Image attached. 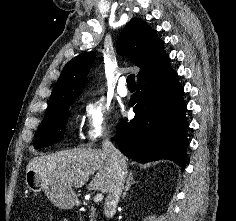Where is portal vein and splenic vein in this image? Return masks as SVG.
<instances>
[{
    "label": "portal vein and splenic vein",
    "mask_w": 236,
    "mask_h": 221,
    "mask_svg": "<svg viewBox=\"0 0 236 221\" xmlns=\"http://www.w3.org/2000/svg\"><path fill=\"white\" fill-rule=\"evenodd\" d=\"M102 199H103V194L102 193H97L94 196V202H100V201H102Z\"/></svg>",
    "instance_id": "portal-vein-and-splenic-vein-1"
}]
</instances>
